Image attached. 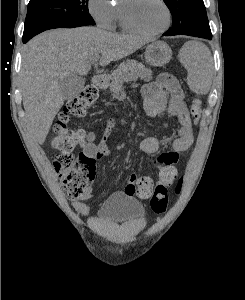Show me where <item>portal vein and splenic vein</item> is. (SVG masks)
Listing matches in <instances>:
<instances>
[{"mask_svg":"<svg viewBox=\"0 0 245 300\" xmlns=\"http://www.w3.org/2000/svg\"><path fill=\"white\" fill-rule=\"evenodd\" d=\"M99 60V56H96V57H94L92 60H91V62L92 63H95V62H97Z\"/></svg>","mask_w":245,"mask_h":300,"instance_id":"obj_1","label":"portal vein and splenic vein"}]
</instances>
